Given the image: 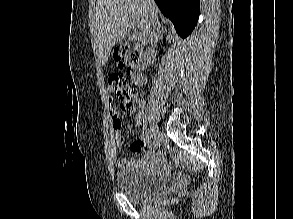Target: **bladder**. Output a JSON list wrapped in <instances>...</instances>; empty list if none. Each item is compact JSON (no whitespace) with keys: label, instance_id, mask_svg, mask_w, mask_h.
I'll use <instances>...</instances> for the list:
<instances>
[{"label":"bladder","instance_id":"1","mask_svg":"<svg viewBox=\"0 0 293 219\" xmlns=\"http://www.w3.org/2000/svg\"><path fill=\"white\" fill-rule=\"evenodd\" d=\"M168 178L148 172L140 166H126L115 174L117 190L133 202H140L168 186Z\"/></svg>","mask_w":293,"mask_h":219}]
</instances>
